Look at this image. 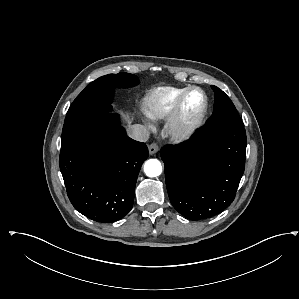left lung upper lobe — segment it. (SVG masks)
I'll use <instances>...</instances> for the list:
<instances>
[{
	"label": "left lung upper lobe",
	"instance_id": "5c2ea615",
	"mask_svg": "<svg viewBox=\"0 0 299 299\" xmlns=\"http://www.w3.org/2000/svg\"><path fill=\"white\" fill-rule=\"evenodd\" d=\"M214 90V111L207 125L211 124H235L244 126L243 122L230 98L218 87L212 86Z\"/></svg>",
	"mask_w": 299,
	"mask_h": 299
}]
</instances>
